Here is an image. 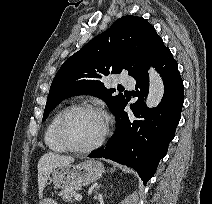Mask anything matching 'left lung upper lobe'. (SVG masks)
Segmentation results:
<instances>
[{"label": "left lung upper lobe", "mask_w": 212, "mask_h": 204, "mask_svg": "<svg viewBox=\"0 0 212 204\" xmlns=\"http://www.w3.org/2000/svg\"><path fill=\"white\" fill-rule=\"evenodd\" d=\"M165 49L155 28L144 18L127 15L118 19L61 66L49 91L43 121L62 100L83 93L104 99L116 112L125 96L121 93L113 96L115 90L104 86V77L122 70L135 77Z\"/></svg>", "instance_id": "left-lung-upper-lobe-1"}]
</instances>
